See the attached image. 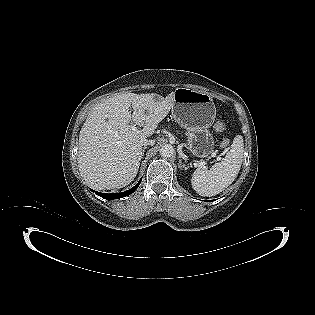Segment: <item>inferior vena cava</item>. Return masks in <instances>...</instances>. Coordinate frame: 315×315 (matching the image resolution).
Returning <instances> with one entry per match:
<instances>
[{
	"mask_svg": "<svg viewBox=\"0 0 315 315\" xmlns=\"http://www.w3.org/2000/svg\"><path fill=\"white\" fill-rule=\"evenodd\" d=\"M155 144V140H150V139H144L142 141V145L147 146V145H154Z\"/></svg>",
	"mask_w": 315,
	"mask_h": 315,
	"instance_id": "602c4592",
	"label": "inferior vena cava"
}]
</instances>
